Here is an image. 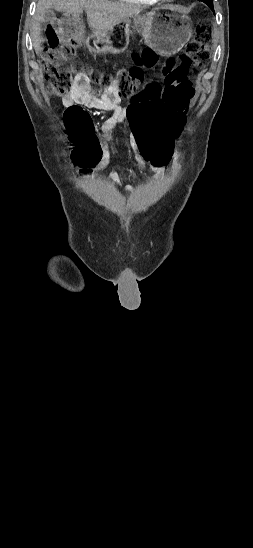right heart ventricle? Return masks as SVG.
Returning <instances> with one entry per match:
<instances>
[{
    "label": "right heart ventricle",
    "mask_w": 253,
    "mask_h": 548,
    "mask_svg": "<svg viewBox=\"0 0 253 548\" xmlns=\"http://www.w3.org/2000/svg\"><path fill=\"white\" fill-rule=\"evenodd\" d=\"M121 2L129 3V4H136V5H154L157 0H119Z\"/></svg>",
    "instance_id": "obj_1"
}]
</instances>
